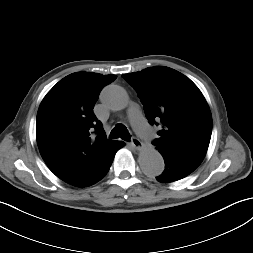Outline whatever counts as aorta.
Masks as SVG:
<instances>
[{"instance_id": "762f6f07", "label": "aorta", "mask_w": 253, "mask_h": 253, "mask_svg": "<svg viewBox=\"0 0 253 253\" xmlns=\"http://www.w3.org/2000/svg\"><path fill=\"white\" fill-rule=\"evenodd\" d=\"M103 105L111 111L125 109L129 103L126 90L118 85H109L100 96ZM138 162L141 169L150 176H158L164 170L162 155L154 148H145L139 153Z\"/></svg>"}]
</instances>
